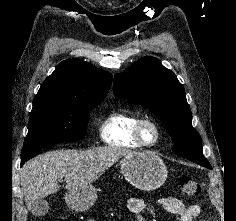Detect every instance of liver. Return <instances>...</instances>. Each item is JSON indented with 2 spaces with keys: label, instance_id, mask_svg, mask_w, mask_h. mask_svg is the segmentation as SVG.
<instances>
[{
  "label": "liver",
  "instance_id": "liver-1",
  "mask_svg": "<svg viewBox=\"0 0 236 221\" xmlns=\"http://www.w3.org/2000/svg\"><path fill=\"white\" fill-rule=\"evenodd\" d=\"M131 153L116 146L89 150H55L41 154L26 163L20 173L27 209L35 200L59 190L58 181H66L68 191L90 186L119 158Z\"/></svg>",
  "mask_w": 236,
  "mask_h": 221
}]
</instances>
